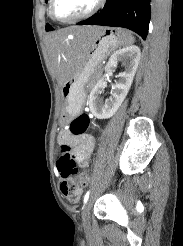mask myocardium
<instances>
[{
	"label": "myocardium",
	"instance_id": "f54148a6",
	"mask_svg": "<svg viewBox=\"0 0 183 246\" xmlns=\"http://www.w3.org/2000/svg\"><path fill=\"white\" fill-rule=\"evenodd\" d=\"M55 2H56V0H50V4H49L50 17L56 22L73 23V22H77V21L86 19V18L92 16L93 14H95L102 7V5L104 4L105 0H96L94 5L88 11H86L85 13H83L81 15H78L76 17L67 18V19H61V18H58L55 15V12H54Z\"/></svg>",
	"mask_w": 183,
	"mask_h": 246
}]
</instances>
